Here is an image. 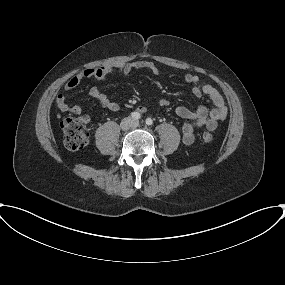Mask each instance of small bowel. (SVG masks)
I'll return each instance as SVG.
<instances>
[{
    "mask_svg": "<svg viewBox=\"0 0 285 285\" xmlns=\"http://www.w3.org/2000/svg\"><path fill=\"white\" fill-rule=\"evenodd\" d=\"M135 70H148L154 75L159 74V68L155 63L149 60H137L133 62L124 63L115 67H99L89 68L73 76L67 81L64 86L65 91H70L76 88L83 79L94 78L99 81L105 80L106 76L110 72H119L124 75L131 74ZM186 83L192 85V93L196 97L206 95L212 101L214 107L208 109L205 106H199L196 109H190L185 106H179L176 109L177 115L182 118L188 119L182 126V143L184 145H191L195 140V129L199 127H206L209 130L216 129L218 122L222 121L227 116V106L222 95L211 84L201 79L194 74H186L184 77ZM89 94L94 97L101 106L107 108L110 111H117L119 104L107 97L104 92L97 86H92L89 89ZM57 107L62 111H70L75 114L82 112V107L79 104L69 105L66 101L64 94H59L56 98ZM168 104L166 99L160 101V107H165ZM139 112H145L146 107H138Z\"/></svg>",
    "mask_w": 285,
    "mask_h": 285,
    "instance_id": "1",
    "label": "small bowel"
}]
</instances>
